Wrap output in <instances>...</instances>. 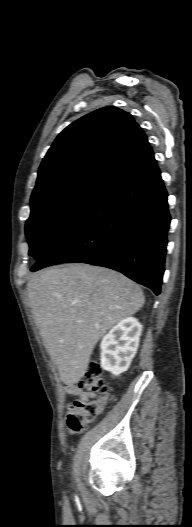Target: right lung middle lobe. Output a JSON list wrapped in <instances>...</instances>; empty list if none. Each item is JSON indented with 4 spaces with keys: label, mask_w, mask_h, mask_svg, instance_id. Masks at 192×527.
I'll list each match as a JSON object with an SVG mask.
<instances>
[{
    "label": "right lung middle lobe",
    "mask_w": 192,
    "mask_h": 527,
    "mask_svg": "<svg viewBox=\"0 0 192 527\" xmlns=\"http://www.w3.org/2000/svg\"><path fill=\"white\" fill-rule=\"evenodd\" d=\"M99 178H84L31 197V215L25 231L29 255L40 260L79 218L106 184Z\"/></svg>",
    "instance_id": "obj_1"
}]
</instances>
